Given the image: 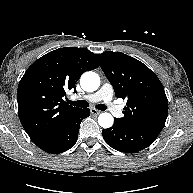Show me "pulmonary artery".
<instances>
[{"instance_id": "e3ab8cb5", "label": "pulmonary artery", "mask_w": 193, "mask_h": 193, "mask_svg": "<svg viewBox=\"0 0 193 193\" xmlns=\"http://www.w3.org/2000/svg\"><path fill=\"white\" fill-rule=\"evenodd\" d=\"M113 94V87L109 83H105L96 93L85 96V99L90 102L104 101L108 105L110 112L114 116L120 117L122 111L119 106L112 102Z\"/></svg>"}]
</instances>
